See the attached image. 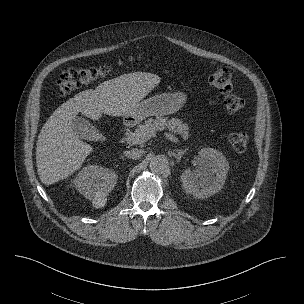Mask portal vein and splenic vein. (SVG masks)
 I'll list each match as a JSON object with an SVG mask.
<instances>
[{"label":"portal vein and splenic vein","instance_id":"18ae733b","mask_svg":"<svg viewBox=\"0 0 304 304\" xmlns=\"http://www.w3.org/2000/svg\"><path fill=\"white\" fill-rule=\"evenodd\" d=\"M165 135H166V137H167L169 140H171V141H173V142H175V143H179L178 138H176L174 135H172V134H170V133H165ZM154 136H155V135H154ZM125 140H126V142H127L128 144H136V143H137V139L135 138V134H134V133L131 134V135H129L127 138H125Z\"/></svg>","mask_w":304,"mask_h":304}]
</instances>
